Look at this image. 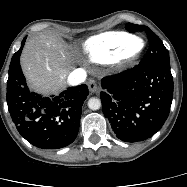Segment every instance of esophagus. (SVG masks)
<instances>
[{
  "instance_id": "esophagus-1",
  "label": "esophagus",
  "mask_w": 187,
  "mask_h": 187,
  "mask_svg": "<svg viewBox=\"0 0 187 187\" xmlns=\"http://www.w3.org/2000/svg\"><path fill=\"white\" fill-rule=\"evenodd\" d=\"M88 88L91 93H96L99 90V87L94 80L88 82Z\"/></svg>"
}]
</instances>
